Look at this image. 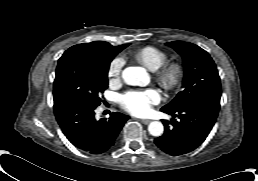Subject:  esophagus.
I'll list each match as a JSON object with an SVG mask.
<instances>
[{"instance_id":"esophagus-1","label":"esophagus","mask_w":258,"mask_h":181,"mask_svg":"<svg viewBox=\"0 0 258 181\" xmlns=\"http://www.w3.org/2000/svg\"><path fill=\"white\" fill-rule=\"evenodd\" d=\"M143 124H149L151 122V120L149 119H141L140 120Z\"/></svg>"}]
</instances>
